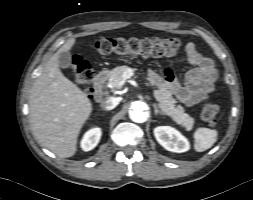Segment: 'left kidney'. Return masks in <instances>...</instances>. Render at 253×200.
Here are the masks:
<instances>
[{
	"label": "left kidney",
	"mask_w": 253,
	"mask_h": 200,
	"mask_svg": "<svg viewBox=\"0 0 253 200\" xmlns=\"http://www.w3.org/2000/svg\"><path fill=\"white\" fill-rule=\"evenodd\" d=\"M154 135L158 143L168 151L182 153L190 149L188 140L178 130L170 126L156 127Z\"/></svg>",
	"instance_id": "obj_1"
}]
</instances>
